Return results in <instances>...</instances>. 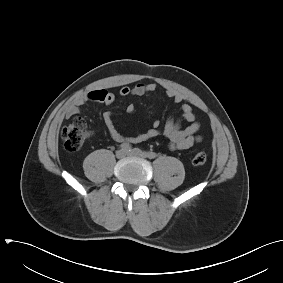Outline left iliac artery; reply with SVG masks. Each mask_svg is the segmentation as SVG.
Segmentation results:
<instances>
[{
	"label": "left iliac artery",
	"instance_id": "44dca946",
	"mask_svg": "<svg viewBox=\"0 0 283 283\" xmlns=\"http://www.w3.org/2000/svg\"><path fill=\"white\" fill-rule=\"evenodd\" d=\"M144 153H145V156L148 157L149 159H154L157 156L155 152H144Z\"/></svg>",
	"mask_w": 283,
	"mask_h": 283
}]
</instances>
